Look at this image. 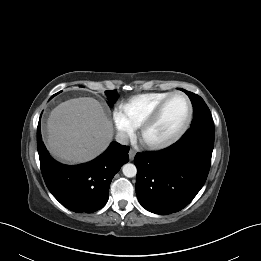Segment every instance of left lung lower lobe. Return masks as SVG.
<instances>
[{
    "mask_svg": "<svg viewBox=\"0 0 261 261\" xmlns=\"http://www.w3.org/2000/svg\"><path fill=\"white\" fill-rule=\"evenodd\" d=\"M214 133L215 129L190 127L168 148L136 154V194L146 210L165 215L192 201L208 176Z\"/></svg>",
    "mask_w": 261,
    "mask_h": 261,
    "instance_id": "0a47b994",
    "label": "left lung lower lobe"
}]
</instances>
